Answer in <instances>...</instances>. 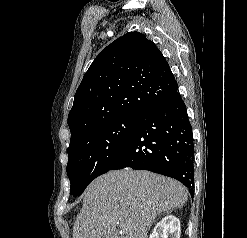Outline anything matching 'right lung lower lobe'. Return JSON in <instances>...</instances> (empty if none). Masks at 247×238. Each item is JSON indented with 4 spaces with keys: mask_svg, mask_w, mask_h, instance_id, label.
<instances>
[{
    "mask_svg": "<svg viewBox=\"0 0 247 238\" xmlns=\"http://www.w3.org/2000/svg\"><path fill=\"white\" fill-rule=\"evenodd\" d=\"M127 167L175 178L193 193L194 142L178 91L141 115L110 170Z\"/></svg>",
    "mask_w": 247,
    "mask_h": 238,
    "instance_id": "1",
    "label": "right lung lower lobe"
}]
</instances>
